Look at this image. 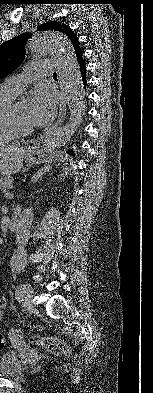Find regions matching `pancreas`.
<instances>
[{"instance_id": "1", "label": "pancreas", "mask_w": 153, "mask_h": 393, "mask_svg": "<svg viewBox=\"0 0 153 393\" xmlns=\"http://www.w3.org/2000/svg\"><path fill=\"white\" fill-rule=\"evenodd\" d=\"M13 177H5L0 179V190L3 192H7L8 189L12 188Z\"/></svg>"}]
</instances>
